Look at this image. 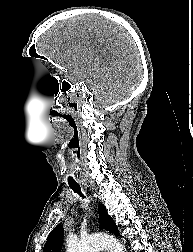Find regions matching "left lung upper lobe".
Masks as SVG:
<instances>
[{
	"label": "left lung upper lobe",
	"mask_w": 193,
	"mask_h": 252,
	"mask_svg": "<svg viewBox=\"0 0 193 252\" xmlns=\"http://www.w3.org/2000/svg\"><path fill=\"white\" fill-rule=\"evenodd\" d=\"M100 228L119 235V230L114 220L107 214V210L104 205L98 206ZM64 231L62 225L56 226L49 234L43 252H60L62 246V237Z\"/></svg>",
	"instance_id": "5c2ea615"
}]
</instances>
